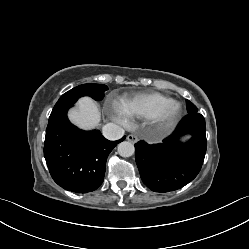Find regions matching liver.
<instances>
[{
	"label": "liver",
	"instance_id": "6515ba94",
	"mask_svg": "<svg viewBox=\"0 0 249 249\" xmlns=\"http://www.w3.org/2000/svg\"><path fill=\"white\" fill-rule=\"evenodd\" d=\"M70 121L83 130L95 128L101 118V113L97 104L89 97L81 98L77 103V108L70 110Z\"/></svg>",
	"mask_w": 249,
	"mask_h": 249
}]
</instances>
